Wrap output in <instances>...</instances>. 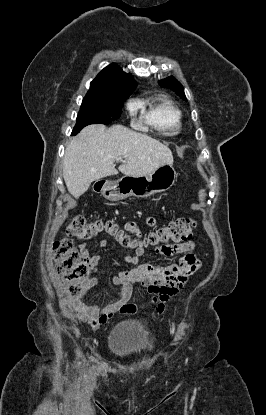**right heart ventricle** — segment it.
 Listing matches in <instances>:
<instances>
[{
	"label": "right heart ventricle",
	"instance_id": "e07e8e85",
	"mask_svg": "<svg viewBox=\"0 0 266 415\" xmlns=\"http://www.w3.org/2000/svg\"><path fill=\"white\" fill-rule=\"evenodd\" d=\"M140 105L145 106L146 101L140 102ZM144 121L158 131L172 135L180 128L181 112L170 100L161 98L147 107Z\"/></svg>",
	"mask_w": 266,
	"mask_h": 415
}]
</instances>
